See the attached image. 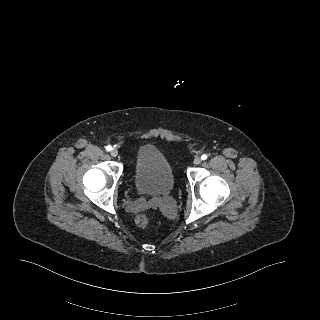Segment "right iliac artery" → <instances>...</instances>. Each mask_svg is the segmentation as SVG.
Returning a JSON list of instances; mask_svg holds the SVG:
<instances>
[{
	"instance_id": "obj_1",
	"label": "right iliac artery",
	"mask_w": 320,
	"mask_h": 320,
	"mask_svg": "<svg viewBox=\"0 0 320 320\" xmlns=\"http://www.w3.org/2000/svg\"><path fill=\"white\" fill-rule=\"evenodd\" d=\"M106 150L107 151H111L112 150V147L110 145L106 146Z\"/></svg>"
}]
</instances>
